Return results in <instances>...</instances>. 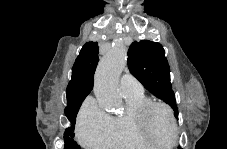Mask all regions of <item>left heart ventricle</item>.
Masks as SVG:
<instances>
[{
  "mask_svg": "<svg viewBox=\"0 0 227 149\" xmlns=\"http://www.w3.org/2000/svg\"><path fill=\"white\" fill-rule=\"evenodd\" d=\"M148 131L156 143L168 144L172 138V127L168 114L162 108H155L148 117Z\"/></svg>",
  "mask_w": 227,
  "mask_h": 149,
  "instance_id": "b2bd125f",
  "label": "left heart ventricle"
}]
</instances>
